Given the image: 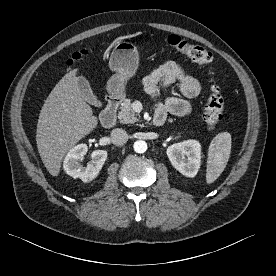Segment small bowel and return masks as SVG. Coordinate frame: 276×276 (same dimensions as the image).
<instances>
[{"mask_svg": "<svg viewBox=\"0 0 276 276\" xmlns=\"http://www.w3.org/2000/svg\"><path fill=\"white\" fill-rule=\"evenodd\" d=\"M177 84L186 97L192 98L199 94L201 85L199 81L187 74L176 62L167 61L152 69L143 78L145 92L155 100L156 113L165 116L170 113L175 116H185L190 113L189 102L179 97H169L164 102L157 100L160 87Z\"/></svg>", "mask_w": 276, "mask_h": 276, "instance_id": "1", "label": "small bowel"}]
</instances>
